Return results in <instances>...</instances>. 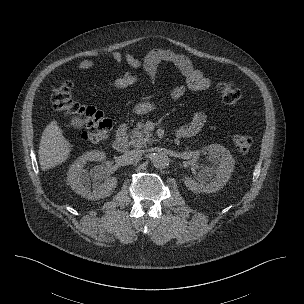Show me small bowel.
<instances>
[{"label": "small bowel", "instance_id": "1", "mask_svg": "<svg viewBox=\"0 0 304 304\" xmlns=\"http://www.w3.org/2000/svg\"><path fill=\"white\" fill-rule=\"evenodd\" d=\"M108 57L119 63L125 60L129 65L135 68H142L147 74H153L161 63L173 64L185 78V85L175 87L171 92L173 99L181 98L186 90L203 91L209 89L213 85L211 78L207 77L201 70L195 68L192 61L185 55L176 53L169 49H154L146 54L144 59L140 61L130 53L124 55L119 52H111ZM93 60H83L79 63V70H87L96 66ZM206 122V115L201 111H195L192 114L191 121L179 128L178 134L182 138H187L197 134Z\"/></svg>", "mask_w": 304, "mask_h": 304}]
</instances>
